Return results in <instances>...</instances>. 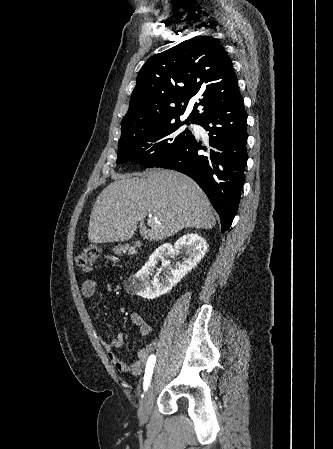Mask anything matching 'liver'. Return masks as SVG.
<instances>
[{
  "instance_id": "6515ba94",
  "label": "liver",
  "mask_w": 333,
  "mask_h": 449,
  "mask_svg": "<svg viewBox=\"0 0 333 449\" xmlns=\"http://www.w3.org/2000/svg\"><path fill=\"white\" fill-rule=\"evenodd\" d=\"M148 214L150 229L144 219ZM146 240L159 241L183 228L212 229L216 219L203 190L190 177L153 169L119 177L97 197L88 227L92 243L127 241L137 225Z\"/></svg>"
}]
</instances>
